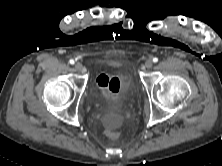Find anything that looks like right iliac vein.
Returning a JSON list of instances; mask_svg holds the SVG:
<instances>
[{
	"mask_svg": "<svg viewBox=\"0 0 222 166\" xmlns=\"http://www.w3.org/2000/svg\"><path fill=\"white\" fill-rule=\"evenodd\" d=\"M74 68H75L77 71H81V70L83 69V66H82L81 63H76V64L74 65Z\"/></svg>",
	"mask_w": 222,
	"mask_h": 166,
	"instance_id": "right-iliac-vein-1",
	"label": "right iliac vein"
}]
</instances>
